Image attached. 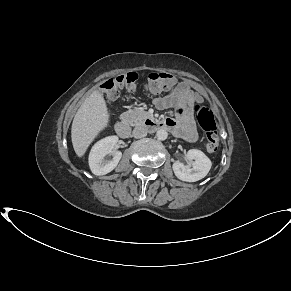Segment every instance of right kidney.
<instances>
[{"instance_id":"ca27d5eb","label":"right kidney","mask_w":291,"mask_h":291,"mask_svg":"<svg viewBox=\"0 0 291 291\" xmlns=\"http://www.w3.org/2000/svg\"><path fill=\"white\" fill-rule=\"evenodd\" d=\"M117 142V136H109L92 147L89 154V166L93 174L105 175L116 168L122 157V152L115 149ZM109 154L112 155V159L106 158Z\"/></svg>"}]
</instances>
